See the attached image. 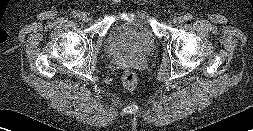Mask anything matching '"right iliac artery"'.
I'll return each mask as SVG.
<instances>
[{
	"label": "right iliac artery",
	"mask_w": 253,
	"mask_h": 131,
	"mask_svg": "<svg viewBox=\"0 0 253 131\" xmlns=\"http://www.w3.org/2000/svg\"><path fill=\"white\" fill-rule=\"evenodd\" d=\"M70 15H71V17H73V18H76V17L79 16V14H78L76 11H72Z\"/></svg>",
	"instance_id": "1"
}]
</instances>
